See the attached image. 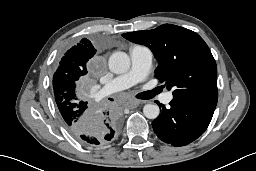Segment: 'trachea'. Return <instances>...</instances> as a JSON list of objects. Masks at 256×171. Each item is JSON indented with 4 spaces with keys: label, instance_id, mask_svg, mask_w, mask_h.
I'll use <instances>...</instances> for the list:
<instances>
[{
    "label": "trachea",
    "instance_id": "3493384b",
    "mask_svg": "<svg viewBox=\"0 0 256 171\" xmlns=\"http://www.w3.org/2000/svg\"><path fill=\"white\" fill-rule=\"evenodd\" d=\"M162 91L161 87H157L151 91H146V92H142L137 94V98L138 99H151L153 98L155 95L159 94Z\"/></svg>",
    "mask_w": 256,
    "mask_h": 171
}]
</instances>
